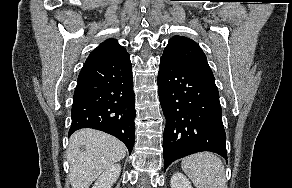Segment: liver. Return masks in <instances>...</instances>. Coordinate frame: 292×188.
<instances>
[{
  "mask_svg": "<svg viewBox=\"0 0 292 188\" xmlns=\"http://www.w3.org/2000/svg\"><path fill=\"white\" fill-rule=\"evenodd\" d=\"M126 151L125 145L109 134L94 129L76 131L70 137L67 156L72 188H89L102 172L123 159Z\"/></svg>",
  "mask_w": 292,
  "mask_h": 188,
  "instance_id": "obj_1",
  "label": "liver"
}]
</instances>
